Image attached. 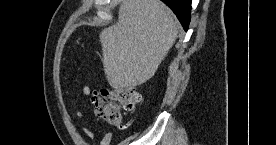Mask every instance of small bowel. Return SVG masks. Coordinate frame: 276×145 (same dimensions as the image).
I'll return each mask as SVG.
<instances>
[{"label": "small bowel", "instance_id": "small-bowel-1", "mask_svg": "<svg viewBox=\"0 0 276 145\" xmlns=\"http://www.w3.org/2000/svg\"><path fill=\"white\" fill-rule=\"evenodd\" d=\"M81 90H82V93L86 97H91V94H92L91 93V88L88 85H83ZM70 105L73 107L75 105L74 101H71ZM78 116L80 118L85 117L84 111L82 109H80L78 111ZM82 132L89 139H92L94 137V133L91 130H89L88 128H82ZM111 140H112V134L110 132H105L102 136L101 141H100V145H110Z\"/></svg>", "mask_w": 276, "mask_h": 145}]
</instances>
